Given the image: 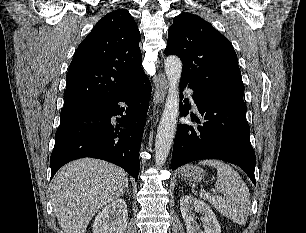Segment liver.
Instances as JSON below:
<instances>
[{"label":"liver","instance_id":"1","mask_svg":"<svg viewBox=\"0 0 306 233\" xmlns=\"http://www.w3.org/2000/svg\"><path fill=\"white\" fill-rule=\"evenodd\" d=\"M127 188V173L106 161L84 158L62 167L52 180L51 199L64 233H85L93 216Z\"/></svg>","mask_w":306,"mask_h":233}]
</instances>
